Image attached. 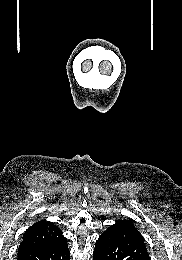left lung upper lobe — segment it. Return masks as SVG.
I'll list each match as a JSON object with an SVG mask.
<instances>
[{
  "label": "left lung upper lobe",
  "instance_id": "1",
  "mask_svg": "<svg viewBox=\"0 0 182 260\" xmlns=\"http://www.w3.org/2000/svg\"><path fill=\"white\" fill-rule=\"evenodd\" d=\"M113 226L125 228V229L131 230V231H134V232L140 234V232L136 229V227L130 221H119L118 223L114 224Z\"/></svg>",
  "mask_w": 182,
  "mask_h": 260
}]
</instances>
